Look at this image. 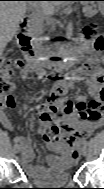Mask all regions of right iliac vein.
<instances>
[{
	"instance_id": "63e3f726",
	"label": "right iliac vein",
	"mask_w": 104,
	"mask_h": 189,
	"mask_svg": "<svg viewBox=\"0 0 104 189\" xmlns=\"http://www.w3.org/2000/svg\"><path fill=\"white\" fill-rule=\"evenodd\" d=\"M20 150H21V149H20V147H19L18 145H15V146H14V152H15V153H19Z\"/></svg>"
}]
</instances>
